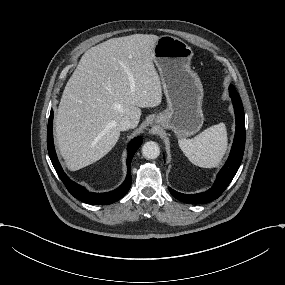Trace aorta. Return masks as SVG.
Listing matches in <instances>:
<instances>
[{"instance_id": "1", "label": "aorta", "mask_w": 285, "mask_h": 285, "mask_svg": "<svg viewBox=\"0 0 285 285\" xmlns=\"http://www.w3.org/2000/svg\"><path fill=\"white\" fill-rule=\"evenodd\" d=\"M160 154V148L154 141L146 142L142 147V155L146 159H156Z\"/></svg>"}]
</instances>
